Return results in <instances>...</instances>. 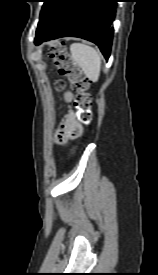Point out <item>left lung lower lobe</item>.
I'll return each mask as SVG.
<instances>
[{
    "instance_id": "left-lung-lower-lobe-1",
    "label": "left lung lower lobe",
    "mask_w": 158,
    "mask_h": 275,
    "mask_svg": "<svg viewBox=\"0 0 158 275\" xmlns=\"http://www.w3.org/2000/svg\"><path fill=\"white\" fill-rule=\"evenodd\" d=\"M117 0H49L42 10L35 44L65 36L97 44L106 59L111 52Z\"/></svg>"
}]
</instances>
